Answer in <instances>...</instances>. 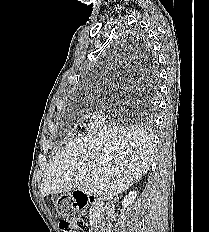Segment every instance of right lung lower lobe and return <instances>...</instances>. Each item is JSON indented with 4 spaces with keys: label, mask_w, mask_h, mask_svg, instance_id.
<instances>
[{
    "label": "right lung lower lobe",
    "mask_w": 209,
    "mask_h": 232,
    "mask_svg": "<svg viewBox=\"0 0 209 232\" xmlns=\"http://www.w3.org/2000/svg\"><path fill=\"white\" fill-rule=\"evenodd\" d=\"M142 57L146 62L152 65L153 60H152L151 53L149 51H145L144 53H142Z\"/></svg>",
    "instance_id": "1"
}]
</instances>
